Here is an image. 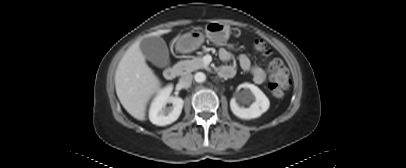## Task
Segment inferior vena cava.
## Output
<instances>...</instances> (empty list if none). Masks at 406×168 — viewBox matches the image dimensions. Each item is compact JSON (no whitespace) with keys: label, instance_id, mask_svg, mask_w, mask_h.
<instances>
[{"label":"inferior vena cava","instance_id":"obj_1","mask_svg":"<svg viewBox=\"0 0 406 168\" xmlns=\"http://www.w3.org/2000/svg\"><path fill=\"white\" fill-rule=\"evenodd\" d=\"M193 80V75L191 73H186L180 78V84L183 88H189Z\"/></svg>","mask_w":406,"mask_h":168}]
</instances>
